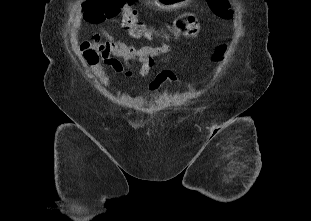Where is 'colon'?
Instances as JSON below:
<instances>
[{"instance_id": "5ec220e1", "label": "colon", "mask_w": 311, "mask_h": 221, "mask_svg": "<svg viewBox=\"0 0 311 221\" xmlns=\"http://www.w3.org/2000/svg\"><path fill=\"white\" fill-rule=\"evenodd\" d=\"M208 8L212 9L213 16L217 20H228L233 16L230 6H226L224 0H204ZM138 9L135 0H93L88 1L83 17V22H94L95 26H102L103 22H112L114 17H123L120 25L132 29V35L136 36L141 28L152 30L151 26H143L138 23ZM200 23L192 16L183 14L174 23L168 25L164 31L168 36L195 37L200 31ZM80 50L87 61L92 65L93 73L104 80L106 78L102 65L112 54L113 49L109 41L102 37H93L92 41L86 39L80 45ZM224 56V48L218 47L214 53V59L218 60Z\"/></svg>"}]
</instances>
